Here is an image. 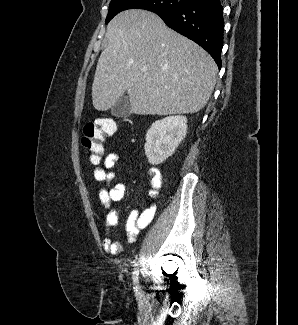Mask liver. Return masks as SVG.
<instances>
[{
	"label": "liver",
	"mask_w": 298,
	"mask_h": 325,
	"mask_svg": "<svg viewBox=\"0 0 298 325\" xmlns=\"http://www.w3.org/2000/svg\"><path fill=\"white\" fill-rule=\"evenodd\" d=\"M106 38L91 86L96 110H108L125 92L135 114H192L209 100L215 60L158 14L123 10L107 24Z\"/></svg>",
	"instance_id": "6515ba94"
}]
</instances>
